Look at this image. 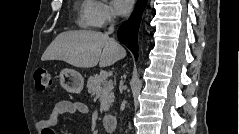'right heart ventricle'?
I'll return each mask as SVG.
<instances>
[{"label":"right heart ventricle","instance_id":"1","mask_svg":"<svg viewBox=\"0 0 239 134\" xmlns=\"http://www.w3.org/2000/svg\"><path fill=\"white\" fill-rule=\"evenodd\" d=\"M89 3L90 1H81L79 6H78V19L77 22L80 26L82 27H90L91 22L89 19Z\"/></svg>","mask_w":239,"mask_h":134}]
</instances>
